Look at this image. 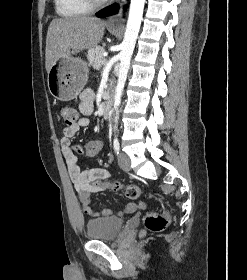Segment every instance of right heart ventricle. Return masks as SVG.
I'll return each instance as SVG.
<instances>
[{
  "label": "right heart ventricle",
  "instance_id": "obj_1",
  "mask_svg": "<svg viewBox=\"0 0 247 280\" xmlns=\"http://www.w3.org/2000/svg\"><path fill=\"white\" fill-rule=\"evenodd\" d=\"M58 15L66 18L86 15L92 7L87 0H54Z\"/></svg>",
  "mask_w": 247,
  "mask_h": 280
}]
</instances>
